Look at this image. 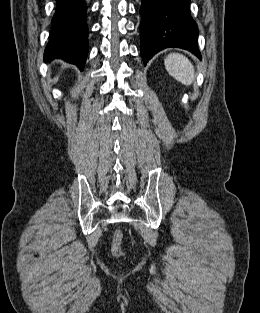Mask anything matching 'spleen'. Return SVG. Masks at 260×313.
I'll list each match as a JSON object with an SVG mask.
<instances>
[{
  "label": "spleen",
  "mask_w": 260,
  "mask_h": 313,
  "mask_svg": "<svg viewBox=\"0 0 260 313\" xmlns=\"http://www.w3.org/2000/svg\"><path fill=\"white\" fill-rule=\"evenodd\" d=\"M168 73L183 85L189 86L195 79L194 66L191 61L182 54L171 53L164 60Z\"/></svg>",
  "instance_id": "1"
}]
</instances>
